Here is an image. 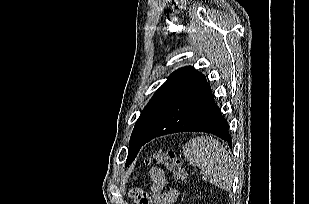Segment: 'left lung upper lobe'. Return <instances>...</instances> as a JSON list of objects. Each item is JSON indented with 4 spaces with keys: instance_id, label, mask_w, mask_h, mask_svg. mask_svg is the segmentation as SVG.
I'll use <instances>...</instances> for the list:
<instances>
[{
    "instance_id": "left-lung-upper-lobe-1",
    "label": "left lung upper lobe",
    "mask_w": 309,
    "mask_h": 204,
    "mask_svg": "<svg viewBox=\"0 0 309 204\" xmlns=\"http://www.w3.org/2000/svg\"><path fill=\"white\" fill-rule=\"evenodd\" d=\"M205 83V76L191 66L180 68L167 78V81L155 92L141 112L135 124L131 134L126 166L135 159L144 138L159 117L178 100Z\"/></svg>"
}]
</instances>
